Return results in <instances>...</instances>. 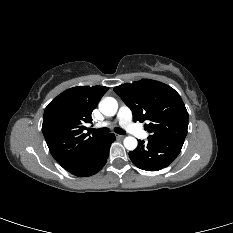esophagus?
Segmentation results:
<instances>
[{"label":"esophagus","instance_id":"esophagus-1","mask_svg":"<svg viewBox=\"0 0 233 233\" xmlns=\"http://www.w3.org/2000/svg\"><path fill=\"white\" fill-rule=\"evenodd\" d=\"M124 137H125L124 135H119V134L116 135L117 139H123Z\"/></svg>","mask_w":233,"mask_h":233}]
</instances>
